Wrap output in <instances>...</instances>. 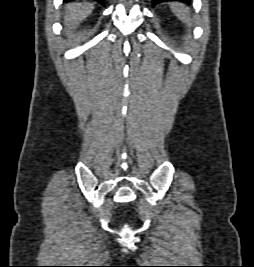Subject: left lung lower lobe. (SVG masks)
I'll list each match as a JSON object with an SVG mask.
<instances>
[{
  "label": "left lung lower lobe",
  "mask_w": 254,
  "mask_h": 267,
  "mask_svg": "<svg viewBox=\"0 0 254 267\" xmlns=\"http://www.w3.org/2000/svg\"><path fill=\"white\" fill-rule=\"evenodd\" d=\"M163 1H180L183 3H189L191 0H152V4L156 5V4L161 3Z\"/></svg>",
  "instance_id": "left-lung-lower-lobe-1"
}]
</instances>
